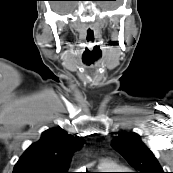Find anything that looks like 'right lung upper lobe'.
Masks as SVG:
<instances>
[{
    "instance_id": "obj_1",
    "label": "right lung upper lobe",
    "mask_w": 173,
    "mask_h": 173,
    "mask_svg": "<svg viewBox=\"0 0 173 173\" xmlns=\"http://www.w3.org/2000/svg\"><path fill=\"white\" fill-rule=\"evenodd\" d=\"M84 140L58 128L42 133L37 143L31 144L15 164L13 173H68L73 152Z\"/></svg>"
}]
</instances>
